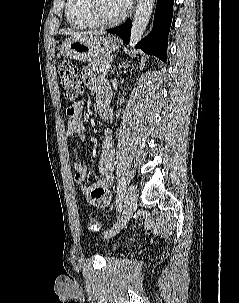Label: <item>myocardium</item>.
<instances>
[{"instance_id":"f54148a6","label":"myocardium","mask_w":239,"mask_h":303,"mask_svg":"<svg viewBox=\"0 0 239 303\" xmlns=\"http://www.w3.org/2000/svg\"><path fill=\"white\" fill-rule=\"evenodd\" d=\"M86 11L93 22L98 26H112L121 23L128 15L129 9L115 18H105L101 14L100 0H86Z\"/></svg>"}]
</instances>
